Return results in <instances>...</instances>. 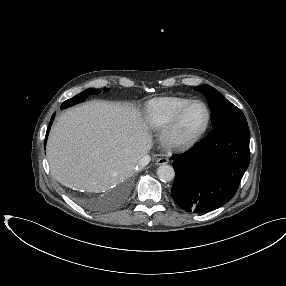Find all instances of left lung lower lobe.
Returning <instances> with one entry per match:
<instances>
[{
    "label": "left lung lower lobe",
    "instance_id": "0a47b994",
    "mask_svg": "<svg viewBox=\"0 0 286 286\" xmlns=\"http://www.w3.org/2000/svg\"><path fill=\"white\" fill-rule=\"evenodd\" d=\"M249 140L248 124L222 125L174 155V201L188 212L205 213L231 200L249 166Z\"/></svg>",
    "mask_w": 286,
    "mask_h": 286
}]
</instances>
